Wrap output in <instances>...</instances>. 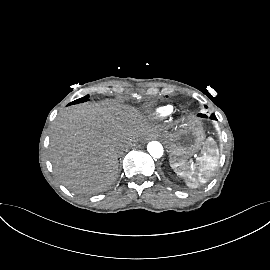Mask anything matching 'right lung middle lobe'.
<instances>
[{
    "label": "right lung middle lobe",
    "instance_id": "right-lung-middle-lobe-1",
    "mask_svg": "<svg viewBox=\"0 0 270 270\" xmlns=\"http://www.w3.org/2000/svg\"><path fill=\"white\" fill-rule=\"evenodd\" d=\"M88 97H89V95H86L85 97H82V98H80V99H77V100L71 102L69 105L85 102V101L88 100Z\"/></svg>",
    "mask_w": 270,
    "mask_h": 270
}]
</instances>
